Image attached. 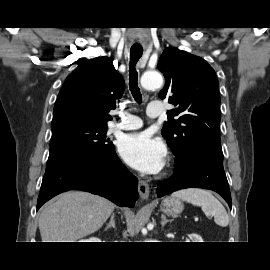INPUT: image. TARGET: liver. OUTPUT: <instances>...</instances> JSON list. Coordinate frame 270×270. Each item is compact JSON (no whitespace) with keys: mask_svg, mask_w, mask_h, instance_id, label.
Instances as JSON below:
<instances>
[{"mask_svg":"<svg viewBox=\"0 0 270 270\" xmlns=\"http://www.w3.org/2000/svg\"><path fill=\"white\" fill-rule=\"evenodd\" d=\"M114 209V203L103 197L66 192L43 207L39 217L42 242H75L99 230Z\"/></svg>","mask_w":270,"mask_h":270,"instance_id":"1","label":"liver"}]
</instances>
